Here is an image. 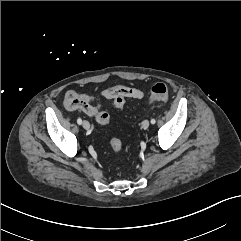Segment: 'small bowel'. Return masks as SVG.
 Segmentation results:
<instances>
[{"instance_id":"c3829d8e","label":"small bowel","mask_w":241,"mask_h":241,"mask_svg":"<svg viewBox=\"0 0 241 241\" xmlns=\"http://www.w3.org/2000/svg\"><path fill=\"white\" fill-rule=\"evenodd\" d=\"M118 87L125 89L126 98L142 99L144 96L142 90L122 85L106 88L101 92V95L106 99H113L114 96L111 92ZM64 106L69 111H82L86 115L95 117L96 119L98 114L101 112V104L94 97L80 94L74 90L66 92L64 97Z\"/></svg>"}]
</instances>
